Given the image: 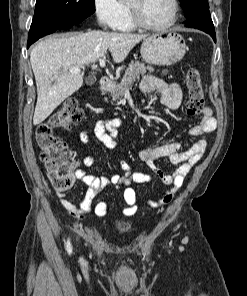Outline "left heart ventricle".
Wrapping results in <instances>:
<instances>
[{
	"instance_id": "left-heart-ventricle-1",
	"label": "left heart ventricle",
	"mask_w": 247,
	"mask_h": 296,
	"mask_svg": "<svg viewBox=\"0 0 247 296\" xmlns=\"http://www.w3.org/2000/svg\"><path fill=\"white\" fill-rule=\"evenodd\" d=\"M139 10L141 18L148 24L161 25L166 23L172 7L169 0H131Z\"/></svg>"
}]
</instances>
